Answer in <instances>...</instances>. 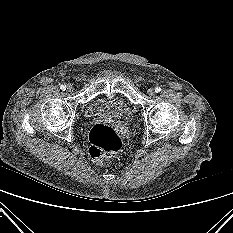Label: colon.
<instances>
[{
    "label": "colon",
    "instance_id": "colon-1",
    "mask_svg": "<svg viewBox=\"0 0 233 233\" xmlns=\"http://www.w3.org/2000/svg\"><path fill=\"white\" fill-rule=\"evenodd\" d=\"M89 154L96 163L115 156L122 148L123 142L116 130L104 123L95 124L89 133Z\"/></svg>",
    "mask_w": 233,
    "mask_h": 233
}]
</instances>
